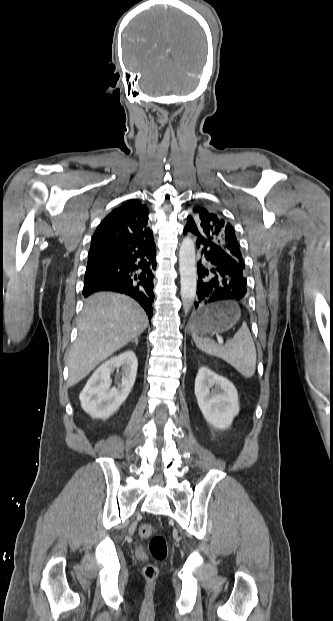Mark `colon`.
Here are the masks:
<instances>
[{"mask_svg": "<svg viewBox=\"0 0 333 621\" xmlns=\"http://www.w3.org/2000/svg\"><path fill=\"white\" fill-rule=\"evenodd\" d=\"M142 539L149 540V551L156 560H164L167 555V543L162 535L156 533V529L151 524H142L138 530ZM143 576L148 581H153L158 576V568L153 564H147L142 570Z\"/></svg>", "mask_w": 333, "mask_h": 621, "instance_id": "5ec220e1", "label": "colon"}]
</instances>
